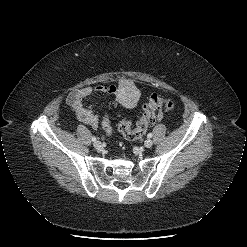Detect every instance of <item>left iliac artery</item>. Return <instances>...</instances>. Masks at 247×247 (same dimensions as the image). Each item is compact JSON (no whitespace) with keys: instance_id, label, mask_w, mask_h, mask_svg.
I'll list each match as a JSON object with an SVG mask.
<instances>
[{"instance_id":"1","label":"left iliac artery","mask_w":247,"mask_h":247,"mask_svg":"<svg viewBox=\"0 0 247 247\" xmlns=\"http://www.w3.org/2000/svg\"><path fill=\"white\" fill-rule=\"evenodd\" d=\"M152 136H153L152 133H149V134L147 135L148 138H151Z\"/></svg>"}]
</instances>
